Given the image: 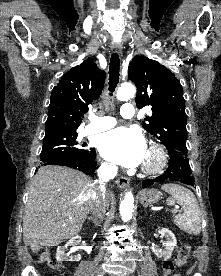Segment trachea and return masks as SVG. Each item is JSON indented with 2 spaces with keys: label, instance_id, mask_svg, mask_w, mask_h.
Wrapping results in <instances>:
<instances>
[{
  "label": "trachea",
  "instance_id": "trachea-1",
  "mask_svg": "<svg viewBox=\"0 0 221 276\" xmlns=\"http://www.w3.org/2000/svg\"><path fill=\"white\" fill-rule=\"evenodd\" d=\"M120 59L117 53H113L109 65V91L110 95L115 91L119 82Z\"/></svg>",
  "mask_w": 221,
  "mask_h": 276
}]
</instances>
